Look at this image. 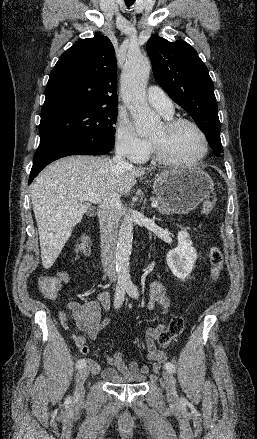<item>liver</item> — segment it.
Returning <instances> with one entry per match:
<instances>
[{
  "instance_id": "obj_1",
  "label": "liver",
  "mask_w": 257,
  "mask_h": 439,
  "mask_svg": "<svg viewBox=\"0 0 257 439\" xmlns=\"http://www.w3.org/2000/svg\"><path fill=\"white\" fill-rule=\"evenodd\" d=\"M143 169L123 168L108 157L76 155L50 164L31 186L42 265L50 268L81 221L90 203L77 194L94 193L102 203L110 195L127 194Z\"/></svg>"
}]
</instances>
